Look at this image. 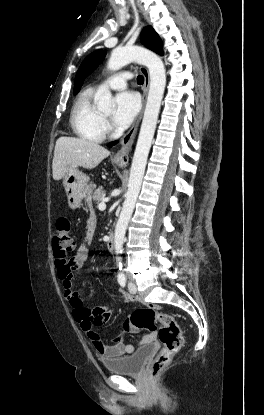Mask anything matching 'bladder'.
<instances>
[{
  "label": "bladder",
  "instance_id": "1",
  "mask_svg": "<svg viewBox=\"0 0 264 415\" xmlns=\"http://www.w3.org/2000/svg\"><path fill=\"white\" fill-rule=\"evenodd\" d=\"M155 351V343L150 342L137 348L132 354L120 356L102 361L108 372L117 374H139L147 361V358Z\"/></svg>",
  "mask_w": 264,
  "mask_h": 415
}]
</instances>
